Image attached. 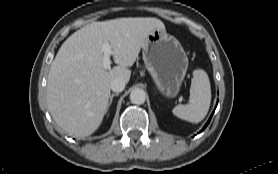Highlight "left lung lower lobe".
<instances>
[{
    "label": "left lung lower lobe",
    "instance_id": "1",
    "mask_svg": "<svg viewBox=\"0 0 278 174\" xmlns=\"http://www.w3.org/2000/svg\"><path fill=\"white\" fill-rule=\"evenodd\" d=\"M212 115H213V113H212ZM212 115H211V117H212ZM211 117H210V119L208 120V122L206 123V125L203 127V129L201 130V132L206 128V126L209 124V122H210V120H211Z\"/></svg>",
    "mask_w": 278,
    "mask_h": 174
}]
</instances>
